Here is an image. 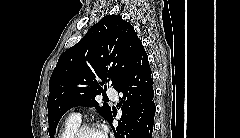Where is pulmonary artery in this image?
Segmentation results:
<instances>
[{
  "mask_svg": "<svg viewBox=\"0 0 240 138\" xmlns=\"http://www.w3.org/2000/svg\"><path fill=\"white\" fill-rule=\"evenodd\" d=\"M108 95H109V97H110L113 101H116L117 98H118V92H117L115 89H113V88H110V89L108 90ZM72 117L77 118V119H80V118H81V115H80L79 112L74 111V112L72 113Z\"/></svg>",
  "mask_w": 240,
  "mask_h": 138,
  "instance_id": "obj_1",
  "label": "pulmonary artery"
}]
</instances>
